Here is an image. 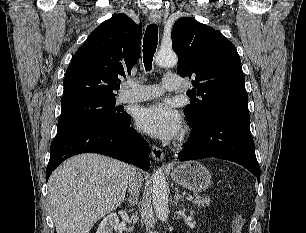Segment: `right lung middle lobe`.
Segmentation results:
<instances>
[{
    "label": "right lung middle lobe",
    "instance_id": "right-lung-middle-lobe-1",
    "mask_svg": "<svg viewBox=\"0 0 306 233\" xmlns=\"http://www.w3.org/2000/svg\"><path fill=\"white\" fill-rule=\"evenodd\" d=\"M61 108L57 131L94 120L119 122L127 116L126 113H119L115 99L83 98L62 103Z\"/></svg>",
    "mask_w": 306,
    "mask_h": 233
}]
</instances>
